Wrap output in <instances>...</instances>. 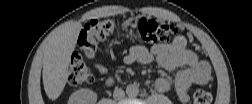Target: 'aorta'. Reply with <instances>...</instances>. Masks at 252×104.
I'll return each mask as SVG.
<instances>
[{
  "instance_id": "1",
  "label": "aorta",
  "mask_w": 252,
  "mask_h": 104,
  "mask_svg": "<svg viewBox=\"0 0 252 104\" xmlns=\"http://www.w3.org/2000/svg\"><path fill=\"white\" fill-rule=\"evenodd\" d=\"M126 94L128 97H136L139 94L138 86L136 84L127 85Z\"/></svg>"
}]
</instances>
